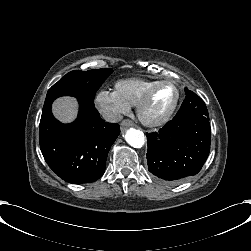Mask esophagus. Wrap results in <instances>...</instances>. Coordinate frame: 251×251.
<instances>
[{
  "label": "esophagus",
  "mask_w": 251,
  "mask_h": 251,
  "mask_svg": "<svg viewBox=\"0 0 251 251\" xmlns=\"http://www.w3.org/2000/svg\"><path fill=\"white\" fill-rule=\"evenodd\" d=\"M120 125L123 127V128H126V127H132L134 126V122L130 119H125L123 120Z\"/></svg>",
  "instance_id": "1"
}]
</instances>
